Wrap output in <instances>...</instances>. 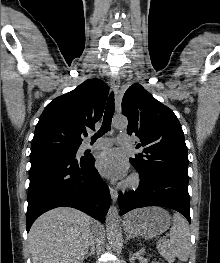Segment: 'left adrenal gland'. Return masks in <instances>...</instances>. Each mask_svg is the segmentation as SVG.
Here are the masks:
<instances>
[{"label":"left adrenal gland","instance_id":"a2214340","mask_svg":"<svg viewBox=\"0 0 220 263\" xmlns=\"http://www.w3.org/2000/svg\"><path fill=\"white\" fill-rule=\"evenodd\" d=\"M125 234H126V239L127 240H130L132 238V236L130 234H128V233H125Z\"/></svg>","mask_w":220,"mask_h":263}]
</instances>
